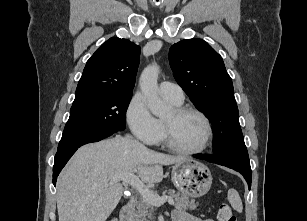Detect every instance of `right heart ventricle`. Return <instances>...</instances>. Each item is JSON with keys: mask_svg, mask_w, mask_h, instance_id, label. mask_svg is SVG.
Returning a JSON list of instances; mask_svg holds the SVG:
<instances>
[{"mask_svg": "<svg viewBox=\"0 0 307 221\" xmlns=\"http://www.w3.org/2000/svg\"><path fill=\"white\" fill-rule=\"evenodd\" d=\"M170 102L173 103L176 106H180L181 105V103H175V102H172V101H170ZM158 122H159L160 130H161L160 137H159V140H158V141H160L163 138V125H162V121L161 120H158Z\"/></svg>", "mask_w": 307, "mask_h": 221, "instance_id": "e07e8e85", "label": "right heart ventricle"}]
</instances>
